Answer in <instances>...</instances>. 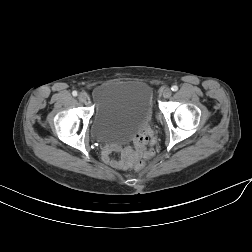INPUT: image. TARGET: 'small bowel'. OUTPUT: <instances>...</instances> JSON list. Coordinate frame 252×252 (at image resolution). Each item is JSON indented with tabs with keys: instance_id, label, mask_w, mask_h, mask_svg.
Masks as SVG:
<instances>
[{
	"instance_id": "small-bowel-1",
	"label": "small bowel",
	"mask_w": 252,
	"mask_h": 252,
	"mask_svg": "<svg viewBox=\"0 0 252 252\" xmlns=\"http://www.w3.org/2000/svg\"><path fill=\"white\" fill-rule=\"evenodd\" d=\"M148 142L147 133H139L133 139L134 148L124 147L119 150L120 158L112 159L110 157V152L107 150L104 152L103 157L107 164L115 168H128L139 158L143 156L146 151V146Z\"/></svg>"
}]
</instances>
